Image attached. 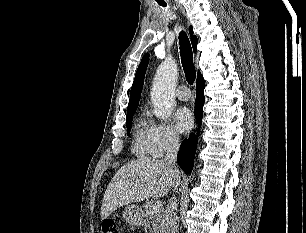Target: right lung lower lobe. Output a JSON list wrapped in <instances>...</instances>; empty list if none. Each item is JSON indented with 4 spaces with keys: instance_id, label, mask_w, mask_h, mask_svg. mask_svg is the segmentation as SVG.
Wrapping results in <instances>:
<instances>
[{
    "instance_id": "98d812e1",
    "label": "right lung lower lobe",
    "mask_w": 306,
    "mask_h": 233,
    "mask_svg": "<svg viewBox=\"0 0 306 233\" xmlns=\"http://www.w3.org/2000/svg\"><path fill=\"white\" fill-rule=\"evenodd\" d=\"M204 88L205 82L203 76L198 74L196 81V100H195V116L197 123L200 125L203 116V105H204ZM197 146V137L191 134L189 139H184L181 144L179 153L177 155V162L182 170L190 174L194 165V156Z\"/></svg>"
}]
</instances>
